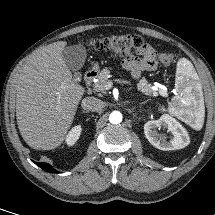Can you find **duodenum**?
<instances>
[{
	"mask_svg": "<svg viewBox=\"0 0 215 215\" xmlns=\"http://www.w3.org/2000/svg\"><path fill=\"white\" fill-rule=\"evenodd\" d=\"M97 76V72L93 69L88 70L85 75H84V84L85 87L88 88L91 83L93 82V80L96 78Z\"/></svg>",
	"mask_w": 215,
	"mask_h": 215,
	"instance_id": "410a0bca",
	"label": "duodenum"
}]
</instances>
